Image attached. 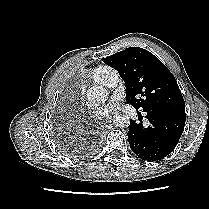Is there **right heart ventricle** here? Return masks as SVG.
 Wrapping results in <instances>:
<instances>
[{"instance_id":"right-heart-ventricle-1","label":"right heart ventricle","mask_w":209,"mask_h":209,"mask_svg":"<svg viewBox=\"0 0 209 209\" xmlns=\"http://www.w3.org/2000/svg\"><path fill=\"white\" fill-rule=\"evenodd\" d=\"M111 68L108 66H98L92 71V77L93 79L102 84L104 77L106 73L110 70Z\"/></svg>"}]
</instances>
